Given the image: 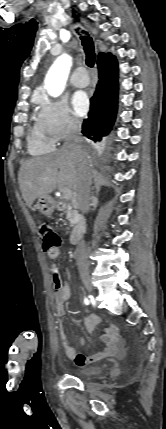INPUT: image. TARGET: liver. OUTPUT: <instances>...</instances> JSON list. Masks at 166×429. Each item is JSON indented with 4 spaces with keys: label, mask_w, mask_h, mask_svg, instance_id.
<instances>
[{
    "label": "liver",
    "mask_w": 166,
    "mask_h": 429,
    "mask_svg": "<svg viewBox=\"0 0 166 429\" xmlns=\"http://www.w3.org/2000/svg\"><path fill=\"white\" fill-rule=\"evenodd\" d=\"M90 162V157L83 149ZM81 159L68 149L26 160L20 167L18 182L26 205L48 196L55 188L78 190Z\"/></svg>",
    "instance_id": "6515ba94"
}]
</instances>
